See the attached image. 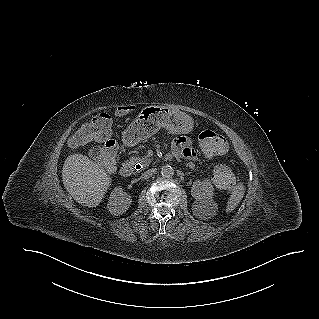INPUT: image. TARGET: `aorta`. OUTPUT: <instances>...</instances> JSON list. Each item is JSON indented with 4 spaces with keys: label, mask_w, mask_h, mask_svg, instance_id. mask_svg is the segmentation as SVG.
<instances>
[{
    "label": "aorta",
    "mask_w": 319,
    "mask_h": 319,
    "mask_svg": "<svg viewBox=\"0 0 319 319\" xmlns=\"http://www.w3.org/2000/svg\"><path fill=\"white\" fill-rule=\"evenodd\" d=\"M161 175L164 178H171L174 175V169L170 165H165L161 168Z\"/></svg>",
    "instance_id": "aorta-1"
}]
</instances>
